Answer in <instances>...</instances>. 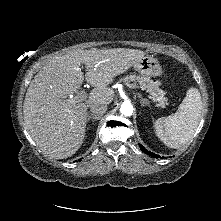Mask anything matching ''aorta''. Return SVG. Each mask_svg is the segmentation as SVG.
Instances as JSON below:
<instances>
[{"label":"aorta","mask_w":221,"mask_h":221,"mask_svg":"<svg viewBox=\"0 0 221 221\" xmlns=\"http://www.w3.org/2000/svg\"><path fill=\"white\" fill-rule=\"evenodd\" d=\"M120 112L124 116H131L133 113V106L130 102L125 101L121 105Z\"/></svg>","instance_id":"aorta-1"}]
</instances>
